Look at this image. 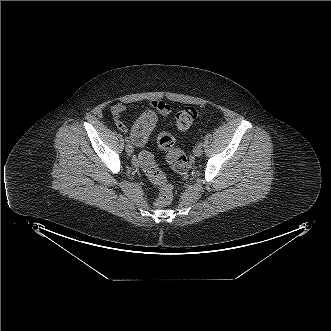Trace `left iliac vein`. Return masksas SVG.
Masks as SVG:
<instances>
[{
  "label": "left iliac vein",
  "mask_w": 331,
  "mask_h": 331,
  "mask_svg": "<svg viewBox=\"0 0 331 331\" xmlns=\"http://www.w3.org/2000/svg\"><path fill=\"white\" fill-rule=\"evenodd\" d=\"M193 154L196 156V157H199L201 156L202 154V147L200 145H196L193 149Z\"/></svg>",
  "instance_id": "obj_1"
}]
</instances>
